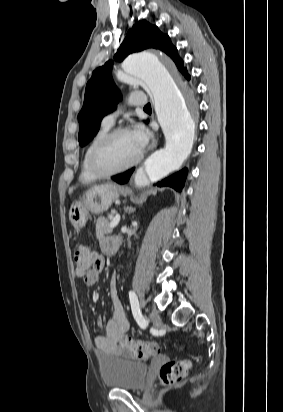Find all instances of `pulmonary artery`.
I'll use <instances>...</instances> for the list:
<instances>
[{
  "label": "pulmonary artery",
  "mask_w": 283,
  "mask_h": 412,
  "mask_svg": "<svg viewBox=\"0 0 283 412\" xmlns=\"http://www.w3.org/2000/svg\"><path fill=\"white\" fill-rule=\"evenodd\" d=\"M127 102L132 106H145L147 104V97L142 93H132L127 99ZM120 111H115L105 115L102 119V125L111 127Z\"/></svg>",
  "instance_id": "e3ab8cb5"
}]
</instances>
